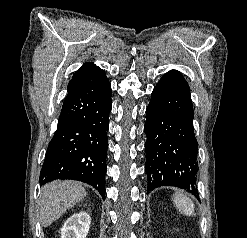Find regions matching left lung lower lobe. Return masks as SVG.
Wrapping results in <instances>:
<instances>
[{
  "instance_id": "0a47b994",
  "label": "left lung lower lobe",
  "mask_w": 247,
  "mask_h": 238,
  "mask_svg": "<svg viewBox=\"0 0 247 238\" xmlns=\"http://www.w3.org/2000/svg\"><path fill=\"white\" fill-rule=\"evenodd\" d=\"M145 144L148 186H175L197 198L198 143L188 83L179 71L164 74L146 109Z\"/></svg>"
}]
</instances>
